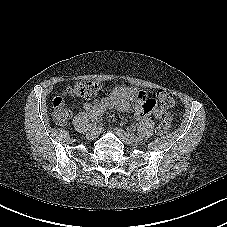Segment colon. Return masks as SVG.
Instances as JSON below:
<instances>
[{"instance_id": "5ec220e1", "label": "colon", "mask_w": 227, "mask_h": 227, "mask_svg": "<svg viewBox=\"0 0 227 227\" xmlns=\"http://www.w3.org/2000/svg\"><path fill=\"white\" fill-rule=\"evenodd\" d=\"M100 88L101 84L97 81H79L72 87L67 88L65 96L82 97L86 99L95 98ZM156 97L157 103L161 109L169 111L175 108L176 101L170 93L159 91L157 92ZM70 116L71 110L66 99L63 96L55 97L52 103V117L54 121L59 125H64L67 123ZM170 126L171 116L170 114L166 113L160 122L158 132L160 134H165L170 129Z\"/></svg>"}]
</instances>
